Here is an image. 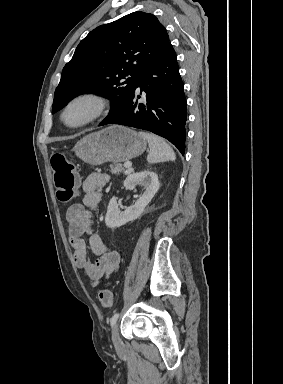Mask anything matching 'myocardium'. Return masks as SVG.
Listing matches in <instances>:
<instances>
[{"instance_id":"1","label":"myocardium","mask_w":283,"mask_h":384,"mask_svg":"<svg viewBox=\"0 0 283 384\" xmlns=\"http://www.w3.org/2000/svg\"><path fill=\"white\" fill-rule=\"evenodd\" d=\"M78 102H88L91 105V113L84 121L78 124L70 125L66 122L65 115L67 111ZM108 107H109L108 100L104 96L98 93H95V92L79 93L71 97L64 105L60 115L61 122L67 128L80 129L92 124L93 122L97 121L102 116H104L108 111Z\"/></svg>"}]
</instances>
